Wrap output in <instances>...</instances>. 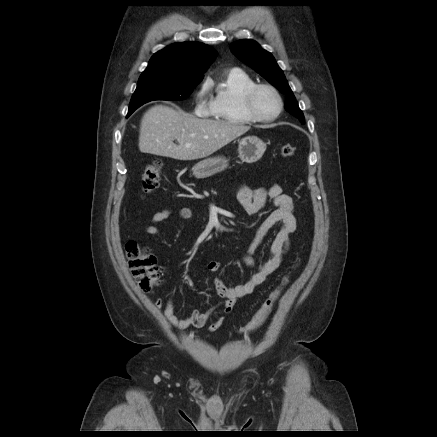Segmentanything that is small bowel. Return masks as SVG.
I'll use <instances>...</instances> for the list:
<instances>
[{
  "mask_svg": "<svg viewBox=\"0 0 437 437\" xmlns=\"http://www.w3.org/2000/svg\"><path fill=\"white\" fill-rule=\"evenodd\" d=\"M237 199L244 212L250 216L258 214L268 204L274 206V210L259 227L255 239L248 249V254L243 257V261L246 265H254L253 255L270 229L277 223H280L281 227L271 244L269 258L258 267L256 272L246 283L231 287L225 284L219 277L214 279L216 292L224 299V315L219 316L209 325V331L217 330L223 324L225 315L232 312L236 301L251 294L257 286L263 283L267 277L280 266L290 246V235L297 227L293 200L289 195L283 192L282 187L278 183L257 189L242 186L238 190ZM171 215V209H163L156 212L151 219V223L146 226L144 230L145 233L148 235H158L160 233L158 224L167 220ZM177 216L181 219H190L193 216V212L190 208L183 207L178 209ZM220 266V262L211 261L207 264V269L215 273L220 269ZM155 305L159 309H163V314L167 321L181 331L189 327L202 328L206 326L214 312V309H210L206 312L191 309L186 317L179 318L175 313L172 299H168L165 303L162 299H157Z\"/></svg>",
  "mask_w": 437,
  "mask_h": 437,
  "instance_id": "small-bowel-1",
  "label": "small bowel"
}]
</instances>
